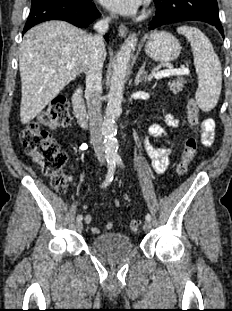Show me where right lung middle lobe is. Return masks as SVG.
<instances>
[{"mask_svg": "<svg viewBox=\"0 0 232 311\" xmlns=\"http://www.w3.org/2000/svg\"><path fill=\"white\" fill-rule=\"evenodd\" d=\"M32 1H34V0H32ZM75 1L82 2V3H87V2H91L92 0H75Z\"/></svg>", "mask_w": 232, "mask_h": 311, "instance_id": "1", "label": "right lung middle lobe"}]
</instances>
